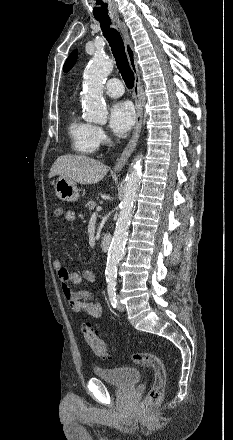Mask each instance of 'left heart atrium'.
<instances>
[{
	"mask_svg": "<svg viewBox=\"0 0 233 440\" xmlns=\"http://www.w3.org/2000/svg\"><path fill=\"white\" fill-rule=\"evenodd\" d=\"M135 122V113L129 102L120 101L110 108L109 127L118 136H124Z\"/></svg>",
	"mask_w": 233,
	"mask_h": 440,
	"instance_id": "left-heart-atrium-1",
	"label": "left heart atrium"
}]
</instances>
